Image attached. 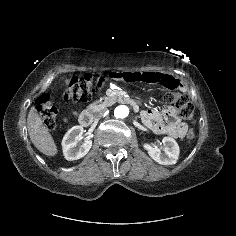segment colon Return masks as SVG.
Segmentation results:
<instances>
[{
    "instance_id": "1",
    "label": "colon",
    "mask_w": 236,
    "mask_h": 236,
    "mask_svg": "<svg viewBox=\"0 0 236 236\" xmlns=\"http://www.w3.org/2000/svg\"><path fill=\"white\" fill-rule=\"evenodd\" d=\"M177 89V88H169ZM63 96L66 100L86 101L94 90L95 86L92 77L89 75H72L67 76L62 83ZM166 101L172 104L178 111V115L189 121L195 120V107L189 101L184 93L173 91L166 96ZM36 109L39 112L44 125L48 129H54L58 119V108L51 101L49 94L41 95L36 101ZM196 137L194 129H190L187 133V139L193 141Z\"/></svg>"
}]
</instances>
